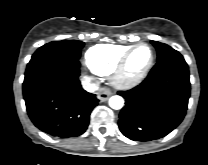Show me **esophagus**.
<instances>
[{"label":"esophagus","mask_w":208,"mask_h":165,"mask_svg":"<svg viewBox=\"0 0 208 165\" xmlns=\"http://www.w3.org/2000/svg\"><path fill=\"white\" fill-rule=\"evenodd\" d=\"M98 98L101 100V101H106L110 96H111V92L109 89L107 88H101L99 89L98 91Z\"/></svg>","instance_id":"obj_1"}]
</instances>
